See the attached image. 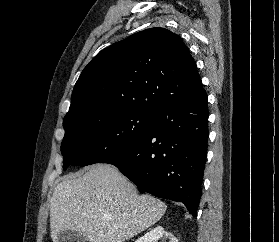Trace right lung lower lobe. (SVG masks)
Returning a JSON list of instances; mask_svg holds the SVG:
<instances>
[{
  "label": "right lung lower lobe",
  "mask_w": 279,
  "mask_h": 242,
  "mask_svg": "<svg viewBox=\"0 0 279 242\" xmlns=\"http://www.w3.org/2000/svg\"><path fill=\"white\" fill-rule=\"evenodd\" d=\"M208 116L205 90L165 106L154 113L146 137L100 163L116 166L141 193L182 202L197 216L208 147Z\"/></svg>",
  "instance_id": "1"
}]
</instances>
